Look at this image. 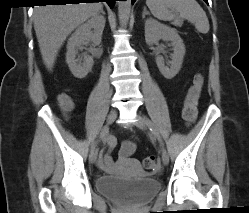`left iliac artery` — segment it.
Masks as SVG:
<instances>
[{
  "instance_id": "44dca946",
  "label": "left iliac artery",
  "mask_w": 249,
  "mask_h": 213,
  "mask_svg": "<svg viewBox=\"0 0 249 213\" xmlns=\"http://www.w3.org/2000/svg\"><path fill=\"white\" fill-rule=\"evenodd\" d=\"M144 119L146 120L148 126H149V129L152 133V135L154 136L155 139H157L159 141V143L161 144L162 147H164V144L162 142V139L161 137L159 136V134L157 133L156 129L153 127L151 121L148 119V118H145Z\"/></svg>"
}]
</instances>
